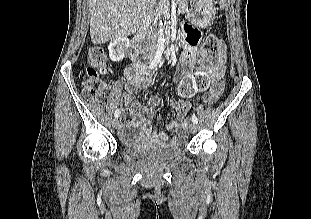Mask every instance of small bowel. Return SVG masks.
<instances>
[{"mask_svg":"<svg viewBox=\"0 0 311 219\" xmlns=\"http://www.w3.org/2000/svg\"><path fill=\"white\" fill-rule=\"evenodd\" d=\"M182 38L183 52L180 57V64L174 76L175 83H183L192 76L189 71L196 60L197 41L193 40L187 28ZM128 83L124 89L122 99L126 110L122 117L120 126V136L123 140L140 137L147 142H170V137L166 132L155 131L151 127L155 109L163 104L161 98L151 95L146 99L147 106H142L132 96L141 89H146L151 82V73L145 72L144 68L137 60L125 71ZM224 70L219 72L216 69L211 71V86L203 94V99L211 104L221 95L224 88ZM169 105L174 109V119L165 125V130L171 132L175 142H182L186 138L187 114L189 105L185 102L179 103L170 100Z\"/></svg>","mask_w":311,"mask_h":219,"instance_id":"1","label":"small bowel"}]
</instances>
